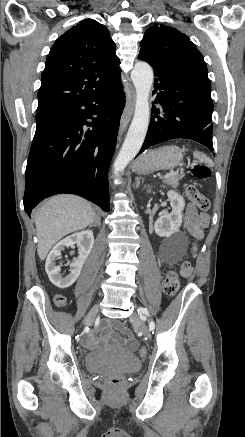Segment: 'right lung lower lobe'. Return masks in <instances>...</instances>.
<instances>
[{
  "label": "right lung lower lobe",
  "instance_id": "right-lung-lower-lobe-1",
  "mask_svg": "<svg viewBox=\"0 0 245 437\" xmlns=\"http://www.w3.org/2000/svg\"><path fill=\"white\" fill-rule=\"evenodd\" d=\"M124 105L119 79L92 97L57 106L37 121L26 167L28 215L44 198L60 193L82 196L110 210L108 169ZM90 118L93 123L86 121ZM84 125L93 129L84 134Z\"/></svg>",
  "mask_w": 245,
  "mask_h": 437
}]
</instances>
